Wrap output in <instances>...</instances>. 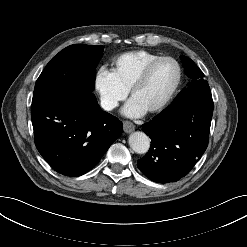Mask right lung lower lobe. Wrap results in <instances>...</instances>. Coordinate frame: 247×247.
Listing matches in <instances>:
<instances>
[{"mask_svg": "<svg viewBox=\"0 0 247 247\" xmlns=\"http://www.w3.org/2000/svg\"><path fill=\"white\" fill-rule=\"evenodd\" d=\"M89 100L52 93L31 105L36 148L62 175L90 171L122 134V122L102 111L96 99Z\"/></svg>", "mask_w": 247, "mask_h": 247, "instance_id": "1", "label": "right lung lower lobe"}]
</instances>
